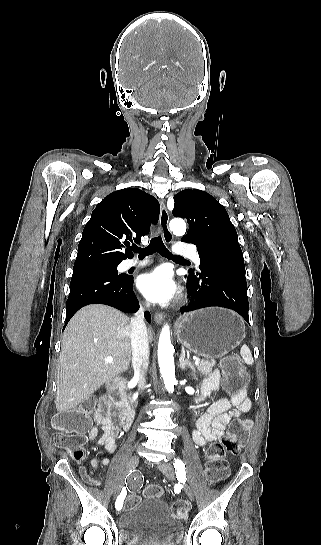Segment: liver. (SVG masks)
<instances>
[{"mask_svg":"<svg viewBox=\"0 0 321 545\" xmlns=\"http://www.w3.org/2000/svg\"><path fill=\"white\" fill-rule=\"evenodd\" d=\"M130 319L107 305H87L69 321L57 369L55 405L69 413L106 381L124 373L131 361ZM151 343L153 337L148 331ZM112 357V363H106Z\"/></svg>","mask_w":321,"mask_h":545,"instance_id":"liver-1","label":"liver"}]
</instances>
